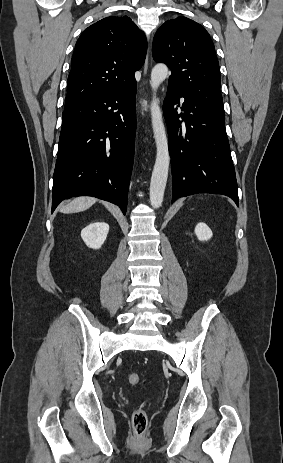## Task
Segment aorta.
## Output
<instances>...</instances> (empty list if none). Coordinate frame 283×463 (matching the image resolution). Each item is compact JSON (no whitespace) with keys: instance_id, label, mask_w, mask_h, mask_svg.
I'll list each match as a JSON object with an SVG mask.
<instances>
[{"instance_id":"obj_1","label":"aorta","mask_w":283,"mask_h":463,"mask_svg":"<svg viewBox=\"0 0 283 463\" xmlns=\"http://www.w3.org/2000/svg\"><path fill=\"white\" fill-rule=\"evenodd\" d=\"M167 75L168 67L163 63H159L153 67L150 79V85L153 90V100L151 102L150 111L157 148L156 160L150 181V204L155 209H158L162 205L170 164L168 139L159 100L156 98V91L159 85L166 79Z\"/></svg>"}]
</instances>
